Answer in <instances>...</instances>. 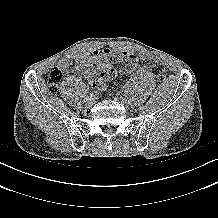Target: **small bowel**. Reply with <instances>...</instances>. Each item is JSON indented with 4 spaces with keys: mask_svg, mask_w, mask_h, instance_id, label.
I'll list each match as a JSON object with an SVG mask.
<instances>
[{
    "mask_svg": "<svg viewBox=\"0 0 218 218\" xmlns=\"http://www.w3.org/2000/svg\"><path fill=\"white\" fill-rule=\"evenodd\" d=\"M139 57L148 59L149 55L147 53L138 55L137 53L121 49L104 48L90 52H73L62 58L57 66L62 71L68 72L74 60L76 63L74 67L75 72L85 76L90 82L94 83L97 78L96 72L108 69L113 66L114 62L120 63L125 61L124 68L127 73L136 66Z\"/></svg>",
    "mask_w": 218,
    "mask_h": 218,
    "instance_id": "1",
    "label": "small bowel"
}]
</instances>
